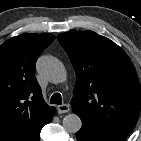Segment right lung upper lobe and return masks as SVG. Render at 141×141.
<instances>
[{
	"instance_id": "1",
	"label": "right lung upper lobe",
	"mask_w": 141,
	"mask_h": 141,
	"mask_svg": "<svg viewBox=\"0 0 141 141\" xmlns=\"http://www.w3.org/2000/svg\"><path fill=\"white\" fill-rule=\"evenodd\" d=\"M54 39L23 34L0 46V141H33L52 120L34 74L38 57Z\"/></svg>"
}]
</instances>
